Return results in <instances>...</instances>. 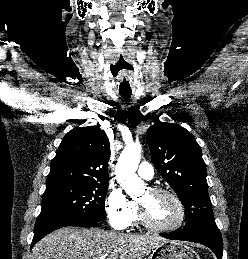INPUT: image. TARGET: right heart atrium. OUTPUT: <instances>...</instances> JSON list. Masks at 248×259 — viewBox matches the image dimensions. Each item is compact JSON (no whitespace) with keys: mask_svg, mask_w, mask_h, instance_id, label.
I'll return each mask as SVG.
<instances>
[{"mask_svg":"<svg viewBox=\"0 0 248 259\" xmlns=\"http://www.w3.org/2000/svg\"><path fill=\"white\" fill-rule=\"evenodd\" d=\"M105 210L110 225L117 230L126 229L135 210V204L119 188L111 187L105 199Z\"/></svg>","mask_w":248,"mask_h":259,"instance_id":"d8ad5b80","label":"right heart atrium"}]
</instances>
